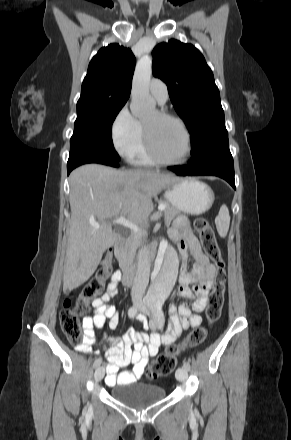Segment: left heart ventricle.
<instances>
[{"label":"left heart ventricle","instance_id":"obj_1","mask_svg":"<svg viewBox=\"0 0 291 440\" xmlns=\"http://www.w3.org/2000/svg\"><path fill=\"white\" fill-rule=\"evenodd\" d=\"M143 123L149 130L153 145L163 159L180 161L184 158L187 151L186 137L175 121L162 118L153 111L143 119Z\"/></svg>","mask_w":291,"mask_h":440}]
</instances>
